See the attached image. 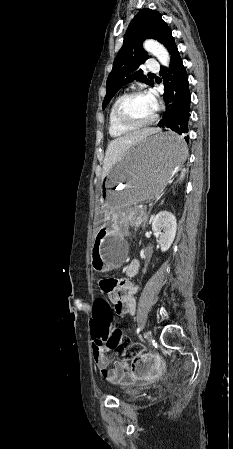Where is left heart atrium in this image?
I'll use <instances>...</instances> for the list:
<instances>
[{
  "label": "left heart atrium",
  "instance_id": "obj_1",
  "mask_svg": "<svg viewBox=\"0 0 233 449\" xmlns=\"http://www.w3.org/2000/svg\"><path fill=\"white\" fill-rule=\"evenodd\" d=\"M148 97L151 99V101L154 103V105H156V100L155 97L152 93H148Z\"/></svg>",
  "mask_w": 233,
  "mask_h": 449
}]
</instances>
